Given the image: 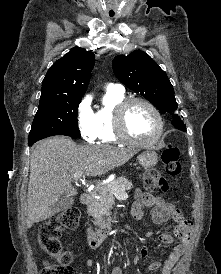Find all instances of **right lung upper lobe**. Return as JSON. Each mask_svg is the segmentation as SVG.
I'll list each match as a JSON object with an SVG mask.
<instances>
[{"label":"right lung upper lobe","instance_id":"cb5924a9","mask_svg":"<svg viewBox=\"0 0 221 274\" xmlns=\"http://www.w3.org/2000/svg\"><path fill=\"white\" fill-rule=\"evenodd\" d=\"M94 62L92 52L72 48L49 68L40 99L81 98L87 90Z\"/></svg>","mask_w":221,"mask_h":274}]
</instances>
